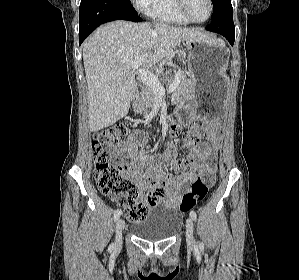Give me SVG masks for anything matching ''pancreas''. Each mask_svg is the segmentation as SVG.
<instances>
[{"instance_id": "1", "label": "pancreas", "mask_w": 299, "mask_h": 280, "mask_svg": "<svg viewBox=\"0 0 299 280\" xmlns=\"http://www.w3.org/2000/svg\"><path fill=\"white\" fill-rule=\"evenodd\" d=\"M191 87V82L187 78V76L180 72V82L177 86V89L182 93H188ZM158 99L157 94L151 87H148L144 92L141 93L139 97L136 98L134 103V111L135 113H139V111L148 112L149 109H152Z\"/></svg>"}]
</instances>
